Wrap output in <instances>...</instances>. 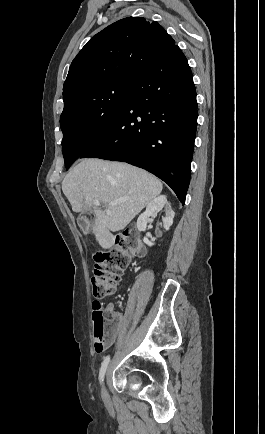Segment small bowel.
I'll use <instances>...</instances> for the list:
<instances>
[{"instance_id":"c3829d8e","label":"small bowel","mask_w":265,"mask_h":434,"mask_svg":"<svg viewBox=\"0 0 265 434\" xmlns=\"http://www.w3.org/2000/svg\"><path fill=\"white\" fill-rule=\"evenodd\" d=\"M106 312L110 314L109 319V333L106 340V348L107 346H111L120 332L128 325V318L122 312H118L114 310V306L112 304H108L106 307ZM97 356H100L103 352H94Z\"/></svg>"}]
</instances>
